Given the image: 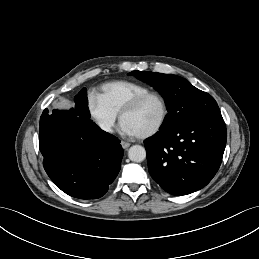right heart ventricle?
<instances>
[{
  "instance_id": "e07e8e85",
  "label": "right heart ventricle",
  "mask_w": 259,
  "mask_h": 259,
  "mask_svg": "<svg viewBox=\"0 0 259 259\" xmlns=\"http://www.w3.org/2000/svg\"><path fill=\"white\" fill-rule=\"evenodd\" d=\"M100 91V96L116 114H119L133 98L150 92L143 85L124 80L105 83L101 86Z\"/></svg>"
}]
</instances>
